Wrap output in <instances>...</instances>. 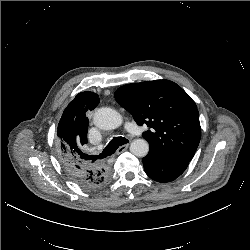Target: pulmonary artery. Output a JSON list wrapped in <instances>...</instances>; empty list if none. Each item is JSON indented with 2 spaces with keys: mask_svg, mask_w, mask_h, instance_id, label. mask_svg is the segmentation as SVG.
I'll return each mask as SVG.
<instances>
[{
  "mask_svg": "<svg viewBox=\"0 0 250 250\" xmlns=\"http://www.w3.org/2000/svg\"><path fill=\"white\" fill-rule=\"evenodd\" d=\"M127 129L131 133H137L139 131V128L132 122H127Z\"/></svg>",
  "mask_w": 250,
  "mask_h": 250,
  "instance_id": "obj_1",
  "label": "pulmonary artery"
}]
</instances>
